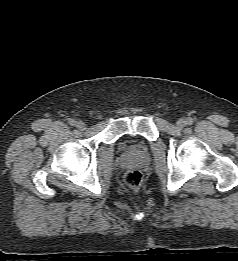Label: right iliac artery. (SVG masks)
<instances>
[{"instance_id":"obj_1","label":"right iliac artery","mask_w":238,"mask_h":261,"mask_svg":"<svg viewBox=\"0 0 238 261\" xmlns=\"http://www.w3.org/2000/svg\"><path fill=\"white\" fill-rule=\"evenodd\" d=\"M69 124H70L71 126H75V125H76V121H75L74 119H71V120L69 121Z\"/></svg>"}]
</instances>
